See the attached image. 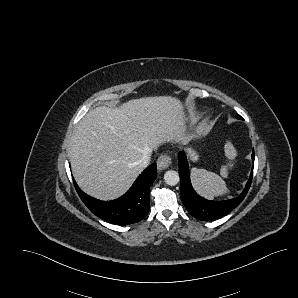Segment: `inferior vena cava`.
<instances>
[{
	"instance_id": "602c4592",
	"label": "inferior vena cava",
	"mask_w": 298,
	"mask_h": 298,
	"mask_svg": "<svg viewBox=\"0 0 298 298\" xmlns=\"http://www.w3.org/2000/svg\"><path fill=\"white\" fill-rule=\"evenodd\" d=\"M150 159L151 157L147 153H145L143 157L138 161V165L145 169L149 166Z\"/></svg>"
}]
</instances>
